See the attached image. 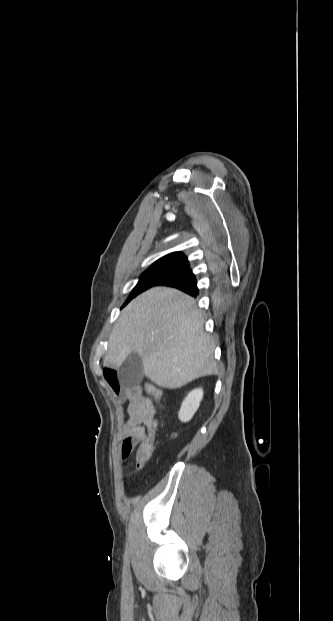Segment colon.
I'll list each match as a JSON object with an SVG mask.
<instances>
[{"instance_id": "obj_1", "label": "colon", "mask_w": 333, "mask_h": 621, "mask_svg": "<svg viewBox=\"0 0 333 621\" xmlns=\"http://www.w3.org/2000/svg\"><path fill=\"white\" fill-rule=\"evenodd\" d=\"M150 394L155 403H159L162 398V390L154 385L149 384ZM157 420H155L150 427H148L145 435H143L138 442L136 451V469H142L149 461L153 452V440L157 432Z\"/></svg>"}]
</instances>
